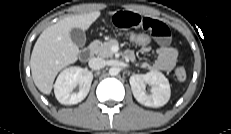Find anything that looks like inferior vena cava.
I'll use <instances>...</instances> for the list:
<instances>
[{
  "instance_id": "inferior-vena-cava-1",
  "label": "inferior vena cava",
  "mask_w": 231,
  "mask_h": 134,
  "mask_svg": "<svg viewBox=\"0 0 231 134\" xmlns=\"http://www.w3.org/2000/svg\"><path fill=\"white\" fill-rule=\"evenodd\" d=\"M88 64L92 70H99L106 65V62L104 59L97 57V58H91Z\"/></svg>"
}]
</instances>
